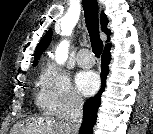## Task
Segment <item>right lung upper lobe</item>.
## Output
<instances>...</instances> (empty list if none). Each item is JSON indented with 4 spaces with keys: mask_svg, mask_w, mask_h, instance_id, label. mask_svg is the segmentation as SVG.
<instances>
[{
    "mask_svg": "<svg viewBox=\"0 0 153 134\" xmlns=\"http://www.w3.org/2000/svg\"><path fill=\"white\" fill-rule=\"evenodd\" d=\"M107 22L108 19L106 15L102 12L101 14V28L102 31L105 32L108 36L110 35V31L107 29ZM52 39V30L50 29L47 31L46 35L41 39V41L38 43L36 47V51L34 54V61L33 65L36 66L39 60V57L41 56L42 52L48 47ZM109 41V39H108ZM110 46V44H107L106 47Z\"/></svg>",
    "mask_w": 153,
    "mask_h": 134,
    "instance_id": "1",
    "label": "right lung upper lobe"
}]
</instances>
